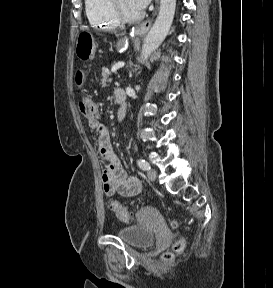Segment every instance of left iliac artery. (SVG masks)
Listing matches in <instances>:
<instances>
[{
	"label": "left iliac artery",
	"instance_id": "1",
	"mask_svg": "<svg viewBox=\"0 0 273 288\" xmlns=\"http://www.w3.org/2000/svg\"><path fill=\"white\" fill-rule=\"evenodd\" d=\"M137 164H138V166H139L142 170H144V171L150 170V165H149V163H148L147 161L143 160V159L137 160Z\"/></svg>",
	"mask_w": 273,
	"mask_h": 288
}]
</instances>
